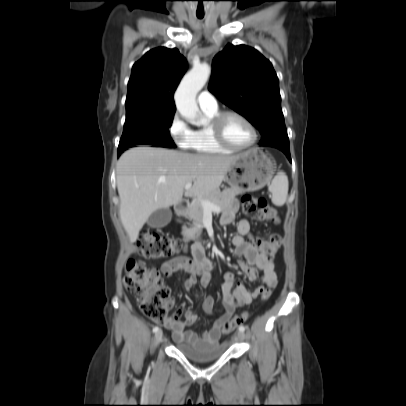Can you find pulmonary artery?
<instances>
[{"label": "pulmonary artery", "mask_w": 406, "mask_h": 406, "mask_svg": "<svg viewBox=\"0 0 406 406\" xmlns=\"http://www.w3.org/2000/svg\"><path fill=\"white\" fill-rule=\"evenodd\" d=\"M198 104L202 109H216L218 108L217 99L208 90H203L199 93L197 98Z\"/></svg>", "instance_id": "1"}]
</instances>
